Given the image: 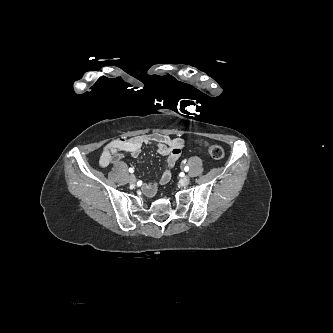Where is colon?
Returning a JSON list of instances; mask_svg holds the SVG:
<instances>
[{"mask_svg":"<svg viewBox=\"0 0 333 333\" xmlns=\"http://www.w3.org/2000/svg\"><path fill=\"white\" fill-rule=\"evenodd\" d=\"M207 150L210 156L215 160H220L224 157V150L219 145H207Z\"/></svg>","mask_w":333,"mask_h":333,"instance_id":"1","label":"colon"}]
</instances>
